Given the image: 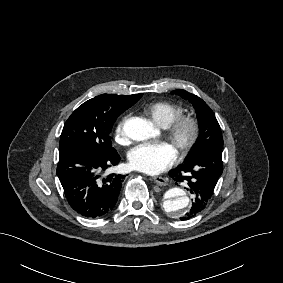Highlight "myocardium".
I'll return each instance as SVG.
<instances>
[{
	"label": "myocardium",
	"mask_w": 283,
	"mask_h": 283,
	"mask_svg": "<svg viewBox=\"0 0 283 283\" xmlns=\"http://www.w3.org/2000/svg\"><path fill=\"white\" fill-rule=\"evenodd\" d=\"M168 138L177 145L180 157L184 158L195 147L200 135V124L197 118L182 115L167 128Z\"/></svg>",
	"instance_id": "1"
}]
</instances>
